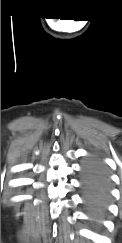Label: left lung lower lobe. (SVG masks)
I'll return each instance as SVG.
<instances>
[{
    "label": "left lung lower lobe",
    "mask_w": 122,
    "mask_h": 243,
    "mask_svg": "<svg viewBox=\"0 0 122 243\" xmlns=\"http://www.w3.org/2000/svg\"><path fill=\"white\" fill-rule=\"evenodd\" d=\"M82 192L86 209L92 217H101L109 199V178L97 160L87 161L82 170Z\"/></svg>",
    "instance_id": "left-lung-lower-lobe-1"
}]
</instances>
